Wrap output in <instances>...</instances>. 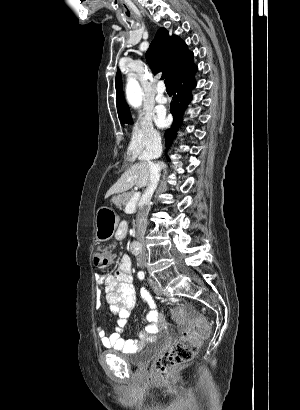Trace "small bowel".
I'll return each mask as SVG.
<instances>
[{
  "label": "small bowel",
  "mask_w": 300,
  "mask_h": 410,
  "mask_svg": "<svg viewBox=\"0 0 300 410\" xmlns=\"http://www.w3.org/2000/svg\"><path fill=\"white\" fill-rule=\"evenodd\" d=\"M131 268L132 264L129 256L123 255L118 268L113 273L98 274L96 280L97 294L100 295L101 291L104 290L110 311L118 318L114 332L108 334L104 327L99 326L97 335L104 347L124 353L137 351L145 342L154 340L167 326L165 318L156 308L153 297L147 290L142 289L140 296L149 307L148 324L145 330L139 333L137 339L124 337L123 333L129 315L134 309L137 299ZM98 307H100V302Z\"/></svg>",
  "instance_id": "1"
}]
</instances>
